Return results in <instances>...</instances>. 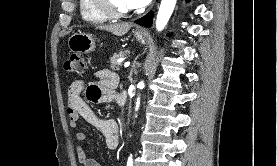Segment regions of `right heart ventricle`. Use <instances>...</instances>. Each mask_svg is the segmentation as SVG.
I'll list each match as a JSON object with an SVG mask.
<instances>
[{
	"mask_svg": "<svg viewBox=\"0 0 277 166\" xmlns=\"http://www.w3.org/2000/svg\"><path fill=\"white\" fill-rule=\"evenodd\" d=\"M80 14L83 20L94 23L102 24L109 18L96 10L90 0H79Z\"/></svg>",
	"mask_w": 277,
	"mask_h": 166,
	"instance_id": "obj_1",
	"label": "right heart ventricle"
}]
</instances>
